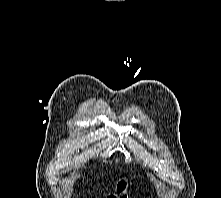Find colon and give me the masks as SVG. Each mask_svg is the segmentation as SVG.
<instances>
[{"label":"colon","mask_w":221,"mask_h":198,"mask_svg":"<svg viewBox=\"0 0 221 198\" xmlns=\"http://www.w3.org/2000/svg\"><path fill=\"white\" fill-rule=\"evenodd\" d=\"M126 182L122 181L118 184V192L123 193L126 190ZM108 198H118L116 195H110Z\"/></svg>","instance_id":"obj_1"}]
</instances>
